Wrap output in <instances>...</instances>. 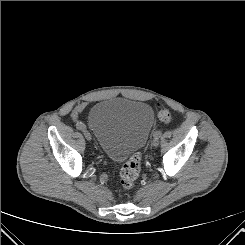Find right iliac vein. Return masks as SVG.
Segmentation results:
<instances>
[{"label": "right iliac vein", "mask_w": 245, "mask_h": 245, "mask_svg": "<svg viewBox=\"0 0 245 245\" xmlns=\"http://www.w3.org/2000/svg\"><path fill=\"white\" fill-rule=\"evenodd\" d=\"M83 134H84L85 138H86L88 141H91V140H92V136H91V134H90L89 131L83 130Z\"/></svg>", "instance_id": "63e3f726"}]
</instances>
